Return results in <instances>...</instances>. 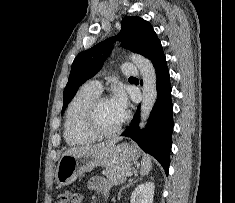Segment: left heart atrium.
I'll list each match as a JSON object with an SVG mask.
<instances>
[{
	"mask_svg": "<svg viewBox=\"0 0 235 203\" xmlns=\"http://www.w3.org/2000/svg\"><path fill=\"white\" fill-rule=\"evenodd\" d=\"M111 101L115 106L124 114L127 112V99L125 94L122 91H118L114 94Z\"/></svg>",
	"mask_w": 235,
	"mask_h": 203,
	"instance_id": "left-heart-atrium-1",
	"label": "left heart atrium"
}]
</instances>
